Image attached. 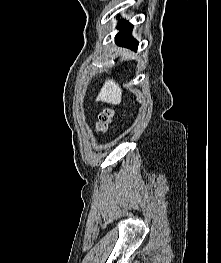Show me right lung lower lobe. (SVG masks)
Here are the masks:
<instances>
[{
  "label": "right lung lower lobe",
  "instance_id": "1",
  "mask_svg": "<svg viewBox=\"0 0 221 263\" xmlns=\"http://www.w3.org/2000/svg\"><path fill=\"white\" fill-rule=\"evenodd\" d=\"M118 29L120 30V32L116 35L117 43L123 44L128 48L136 50L138 42L131 36L133 26L130 23L121 20L118 24Z\"/></svg>",
  "mask_w": 221,
  "mask_h": 263
}]
</instances>
